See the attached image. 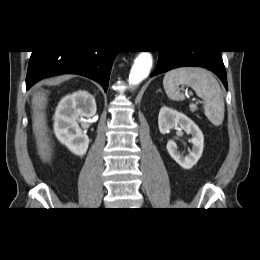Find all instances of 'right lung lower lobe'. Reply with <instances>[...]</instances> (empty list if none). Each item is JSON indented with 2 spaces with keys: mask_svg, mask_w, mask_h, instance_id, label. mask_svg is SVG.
I'll use <instances>...</instances> for the list:
<instances>
[{
  "mask_svg": "<svg viewBox=\"0 0 260 260\" xmlns=\"http://www.w3.org/2000/svg\"><path fill=\"white\" fill-rule=\"evenodd\" d=\"M118 51H33L26 77L28 90L41 79L59 74H79L107 90L113 60Z\"/></svg>",
  "mask_w": 260,
  "mask_h": 260,
  "instance_id": "obj_1",
  "label": "right lung lower lobe"
}]
</instances>
